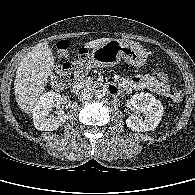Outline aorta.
<instances>
[{
    "label": "aorta",
    "instance_id": "obj_1",
    "mask_svg": "<svg viewBox=\"0 0 195 195\" xmlns=\"http://www.w3.org/2000/svg\"><path fill=\"white\" fill-rule=\"evenodd\" d=\"M105 96H106V91L103 90V89H99V90H97L96 93H95V97H96L97 99H102V98H104Z\"/></svg>",
    "mask_w": 195,
    "mask_h": 195
}]
</instances>
